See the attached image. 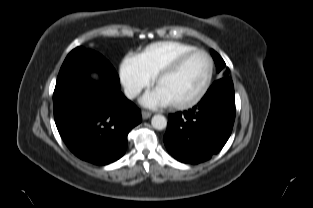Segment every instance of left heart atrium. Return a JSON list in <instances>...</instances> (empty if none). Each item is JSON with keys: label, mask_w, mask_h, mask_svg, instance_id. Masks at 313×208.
Instances as JSON below:
<instances>
[{"label": "left heart atrium", "mask_w": 313, "mask_h": 208, "mask_svg": "<svg viewBox=\"0 0 313 208\" xmlns=\"http://www.w3.org/2000/svg\"><path fill=\"white\" fill-rule=\"evenodd\" d=\"M143 103L150 107L166 106L169 104L167 99L163 97L157 90L143 97Z\"/></svg>", "instance_id": "39dd6f15"}]
</instances>
